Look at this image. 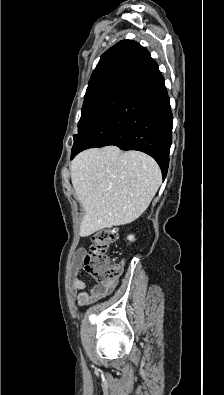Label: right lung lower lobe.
<instances>
[{
    "instance_id": "right-lung-lower-lobe-1",
    "label": "right lung lower lobe",
    "mask_w": 224,
    "mask_h": 395,
    "mask_svg": "<svg viewBox=\"0 0 224 395\" xmlns=\"http://www.w3.org/2000/svg\"><path fill=\"white\" fill-rule=\"evenodd\" d=\"M173 117L164 78L144 48L122 66L113 86L74 142L80 151L107 145L152 156L163 178L169 165Z\"/></svg>"
}]
</instances>
